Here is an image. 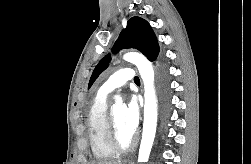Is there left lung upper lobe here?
<instances>
[{"label": "left lung upper lobe", "instance_id": "5c2ea615", "mask_svg": "<svg viewBox=\"0 0 251 164\" xmlns=\"http://www.w3.org/2000/svg\"><path fill=\"white\" fill-rule=\"evenodd\" d=\"M132 48L141 51L150 61H155L159 54L156 36L149 23L140 18L132 17L127 22V27L120 33L114 44L113 52L121 49ZM110 61V54L106 55L95 67L89 81L88 88L92 86L97 77L104 71Z\"/></svg>", "mask_w": 251, "mask_h": 164}]
</instances>
